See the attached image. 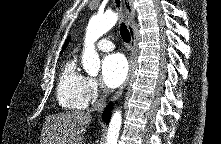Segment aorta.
<instances>
[{
  "label": "aorta",
  "mask_w": 221,
  "mask_h": 144,
  "mask_svg": "<svg viewBox=\"0 0 221 144\" xmlns=\"http://www.w3.org/2000/svg\"><path fill=\"white\" fill-rule=\"evenodd\" d=\"M117 20L118 15L112 11H109L102 15L93 16L88 23L82 63L84 70L90 76H96L100 70V58L95 50L94 43L102 35L108 32L116 24ZM121 124V111L117 110L113 113L109 123L106 144H117Z\"/></svg>",
  "instance_id": "762f6f07"
}]
</instances>
